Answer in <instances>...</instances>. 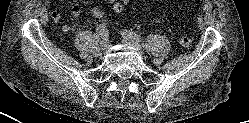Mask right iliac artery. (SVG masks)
<instances>
[{"label": "right iliac artery", "instance_id": "82829eb1", "mask_svg": "<svg viewBox=\"0 0 249 123\" xmlns=\"http://www.w3.org/2000/svg\"><path fill=\"white\" fill-rule=\"evenodd\" d=\"M96 30L103 40H108L109 32L104 24L98 25Z\"/></svg>", "mask_w": 249, "mask_h": 123}]
</instances>
